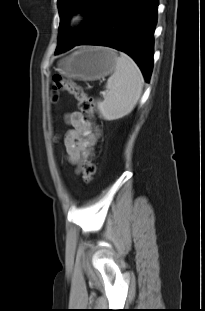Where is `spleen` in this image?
<instances>
[{
	"label": "spleen",
	"instance_id": "obj_1",
	"mask_svg": "<svg viewBox=\"0 0 205 311\" xmlns=\"http://www.w3.org/2000/svg\"><path fill=\"white\" fill-rule=\"evenodd\" d=\"M143 82V75L135 61L121 52L115 71L107 80V93L102 101H97L101 117L111 121L131 113L141 97Z\"/></svg>",
	"mask_w": 205,
	"mask_h": 311
}]
</instances>
